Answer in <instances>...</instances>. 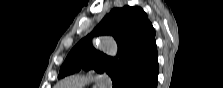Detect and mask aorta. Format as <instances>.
Returning a JSON list of instances; mask_svg holds the SVG:
<instances>
[{
	"label": "aorta",
	"mask_w": 223,
	"mask_h": 88,
	"mask_svg": "<svg viewBox=\"0 0 223 88\" xmlns=\"http://www.w3.org/2000/svg\"><path fill=\"white\" fill-rule=\"evenodd\" d=\"M94 45L102 50L109 56H116L117 45L113 38L107 36L98 37L94 42Z\"/></svg>",
	"instance_id": "1"
}]
</instances>
